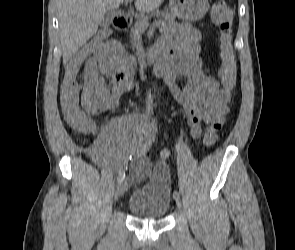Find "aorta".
<instances>
[{
	"mask_svg": "<svg viewBox=\"0 0 295 250\" xmlns=\"http://www.w3.org/2000/svg\"><path fill=\"white\" fill-rule=\"evenodd\" d=\"M153 103V98L150 92L147 93L146 96V104L151 105Z\"/></svg>",
	"mask_w": 295,
	"mask_h": 250,
	"instance_id": "obj_1",
	"label": "aorta"
}]
</instances>
